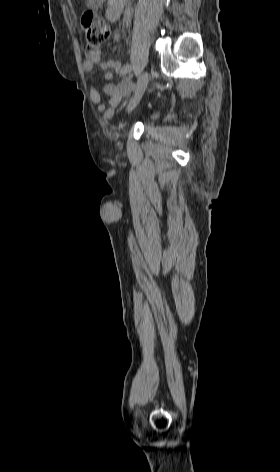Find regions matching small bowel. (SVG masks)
Wrapping results in <instances>:
<instances>
[{
    "label": "small bowel",
    "mask_w": 280,
    "mask_h": 472,
    "mask_svg": "<svg viewBox=\"0 0 280 472\" xmlns=\"http://www.w3.org/2000/svg\"><path fill=\"white\" fill-rule=\"evenodd\" d=\"M118 35H115V39ZM95 66H99L105 71L104 79L107 81L103 87V92L107 96V104L102 103L101 93L95 86L90 88V99L98 107V110L103 114L106 119H109L113 115V108L118 104L121 96L128 93L131 88V82L125 80L121 83L115 84L111 82L113 77V71H116L121 74L123 68L122 64L118 61L109 59L106 61L101 60V55L97 52L87 59L82 64V69L85 72H90Z\"/></svg>",
    "instance_id": "obj_1"
}]
</instances>
